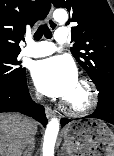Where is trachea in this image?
<instances>
[{"label":"trachea","mask_w":114,"mask_h":156,"mask_svg":"<svg viewBox=\"0 0 114 156\" xmlns=\"http://www.w3.org/2000/svg\"><path fill=\"white\" fill-rule=\"evenodd\" d=\"M43 35L47 39L52 38V33H51L49 27L46 24H43V25L39 26V28L34 33V39L35 40H40Z\"/></svg>","instance_id":"1"}]
</instances>
